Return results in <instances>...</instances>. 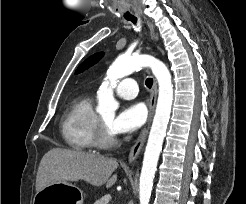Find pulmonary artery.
<instances>
[{
    "instance_id": "1",
    "label": "pulmonary artery",
    "mask_w": 246,
    "mask_h": 204,
    "mask_svg": "<svg viewBox=\"0 0 246 204\" xmlns=\"http://www.w3.org/2000/svg\"><path fill=\"white\" fill-rule=\"evenodd\" d=\"M115 91L123 99H133L138 94V85L133 78H125L116 84Z\"/></svg>"
}]
</instances>
